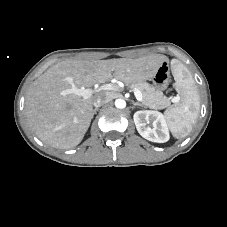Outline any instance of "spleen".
Listing matches in <instances>:
<instances>
[{
	"label": "spleen",
	"mask_w": 227,
	"mask_h": 227,
	"mask_svg": "<svg viewBox=\"0 0 227 227\" xmlns=\"http://www.w3.org/2000/svg\"><path fill=\"white\" fill-rule=\"evenodd\" d=\"M173 75L181 101L165 111L167 124L177 139L186 137L199 116L200 98L187 68L177 61Z\"/></svg>",
	"instance_id": "spleen-1"
}]
</instances>
